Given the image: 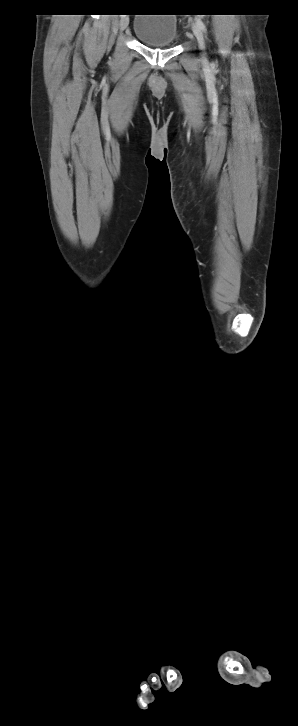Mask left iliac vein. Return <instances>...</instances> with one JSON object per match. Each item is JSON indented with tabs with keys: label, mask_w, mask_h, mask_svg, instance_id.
Wrapping results in <instances>:
<instances>
[{
	"label": "left iliac vein",
	"mask_w": 298,
	"mask_h": 726,
	"mask_svg": "<svg viewBox=\"0 0 298 726\" xmlns=\"http://www.w3.org/2000/svg\"><path fill=\"white\" fill-rule=\"evenodd\" d=\"M192 31H193V34H194V36L196 37V39L198 41L199 48L202 51V59L204 61H206L207 58H206V52H205V42H204L203 33H202L201 29L199 28V26L197 24H193L192 25Z\"/></svg>",
	"instance_id": "1"
}]
</instances>
